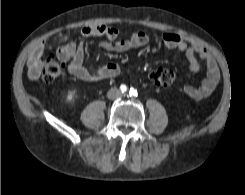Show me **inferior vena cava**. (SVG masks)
Returning <instances> with one entry per match:
<instances>
[{
	"label": "inferior vena cava",
	"instance_id": "obj_1",
	"mask_svg": "<svg viewBox=\"0 0 245 195\" xmlns=\"http://www.w3.org/2000/svg\"><path fill=\"white\" fill-rule=\"evenodd\" d=\"M121 96H122V92L118 89H111L108 94V97L110 99L120 98Z\"/></svg>",
	"mask_w": 245,
	"mask_h": 195
}]
</instances>
